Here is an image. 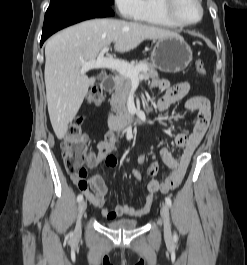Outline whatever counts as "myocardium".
Here are the masks:
<instances>
[{
	"instance_id": "myocardium-1",
	"label": "myocardium",
	"mask_w": 247,
	"mask_h": 265,
	"mask_svg": "<svg viewBox=\"0 0 247 265\" xmlns=\"http://www.w3.org/2000/svg\"><path fill=\"white\" fill-rule=\"evenodd\" d=\"M197 3L199 10H200V15L199 18L196 21L193 22H186L183 21L179 15L176 12V6L178 3V0H161V8L163 12L166 14V16L177 26L180 27H190V26H195L198 23H200L204 17V7L202 4V0H195Z\"/></svg>"
}]
</instances>
